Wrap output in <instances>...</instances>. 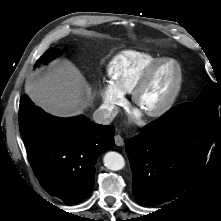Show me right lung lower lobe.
<instances>
[{
    "mask_svg": "<svg viewBox=\"0 0 221 221\" xmlns=\"http://www.w3.org/2000/svg\"><path fill=\"white\" fill-rule=\"evenodd\" d=\"M19 127L31 167L41 186L64 202L79 203L94 186L95 163L114 147L115 128L84 116L59 118L20 99Z\"/></svg>",
    "mask_w": 221,
    "mask_h": 221,
    "instance_id": "1",
    "label": "right lung lower lobe"
}]
</instances>
